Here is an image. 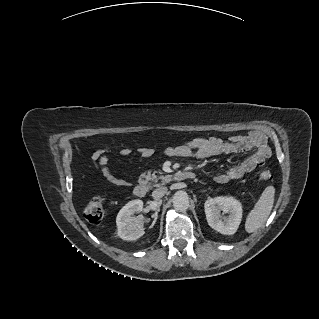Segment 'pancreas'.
Returning a JSON list of instances; mask_svg holds the SVG:
<instances>
[{"label":"pancreas","mask_w":319,"mask_h":319,"mask_svg":"<svg viewBox=\"0 0 319 319\" xmlns=\"http://www.w3.org/2000/svg\"><path fill=\"white\" fill-rule=\"evenodd\" d=\"M145 179V184H147L150 188L164 185L170 181V178L167 175H162V172H157V174H155V172L153 173L151 171L145 174Z\"/></svg>","instance_id":"pancreas-1"}]
</instances>
